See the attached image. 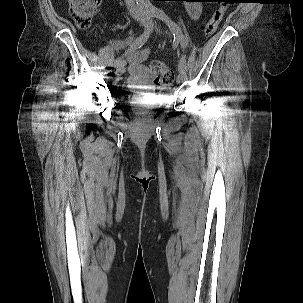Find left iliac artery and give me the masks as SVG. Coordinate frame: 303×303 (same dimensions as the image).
Wrapping results in <instances>:
<instances>
[{
  "label": "left iliac artery",
  "instance_id": "obj_1",
  "mask_svg": "<svg viewBox=\"0 0 303 303\" xmlns=\"http://www.w3.org/2000/svg\"><path fill=\"white\" fill-rule=\"evenodd\" d=\"M145 10H146L147 14L164 21L168 25L169 29L172 31V33L174 35V40L180 42L183 50L186 48L187 39L183 35L181 28L174 21H172L163 10L156 8L150 2L145 3ZM179 67H182L183 69H185L187 71L186 57L184 54H182L180 57Z\"/></svg>",
  "mask_w": 303,
  "mask_h": 303
}]
</instances>
